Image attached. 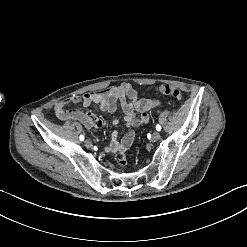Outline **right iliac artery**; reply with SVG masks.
I'll return each mask as SVG.
<instances>
[{"instance_id": "right-iliac-artery-1", "label": "right iliac artery", "mask_w": 247, "mask_h": 247, "mask_svg": "<svg viewBox=\"0 0 247 247\" xmlns=\"http://www.w3.org/2000/svg\"><path fill=\"white\" fill-rule=\"evenodd\" d=\"M79 139H80L81 141H83V140H84V136H83V135H80Z\"/></svg>"}]
</instances>
